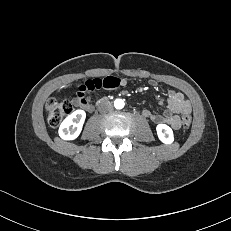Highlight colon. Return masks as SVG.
Segmentation results:
<instances>
[{"instance_id":"1","label":"colon","mask_w":231,"mask_h":231,"mask_svg":"<svg viewBox=\"0 0 231 231\" xmlns=\"http://www.w3.org/2000/svg\"><path fill=\"white\" fill-rule=\"evenodd\" d=\"M120 79V78H119ZM47 121L51 127H57L62 122L65 116L73 110V105L68 100H58L49 98L46 102ZM191 124L190 114L182 116V126L188 129Z\"/></svg>"}]
</instances>
